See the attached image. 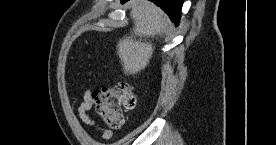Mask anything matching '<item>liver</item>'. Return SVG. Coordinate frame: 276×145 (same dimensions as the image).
Instances as JSON below:
<instances>
[{"mask_svg": "<svg viewBox=\"0 0 276 145\" xmlns=\"http://www.w3.org/2000/svg\"><path fill=\"white\" fill-rule=\"evenodd\" d=\"M129 6L134 27L130 36L119 40L117 55L121 60L124 74L134 75L144 70L152 58L154 47L146 38L165 32L169 20L165 13L150 1L132 0ZM136 37L139 39L136 40Z\"/></svg>", "mask_w": 276, "mask_h": 145, "instance_id": "liver-1", "label": "liver"}]
</instances>
